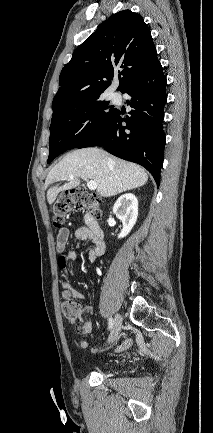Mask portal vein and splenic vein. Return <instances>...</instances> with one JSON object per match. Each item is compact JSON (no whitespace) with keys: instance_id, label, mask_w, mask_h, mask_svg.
I'll return each instance as SVG.
<instances>
[{"instance_id":"portal-vein-and-splenic-vein-1","label":"portal vein and splenic vein","mask_w":213,"mask_h":433,"mask_svg":"<svg viewBox=\"0 0 213 433\" xmlns=\"http://www.w3.org/2000/svg\"><path fill=\"white\" fill-rule=\"evenodd\" d=\"M70 177L72 178L73 176H70ZM82 179H84V180L87 182V186H88V188H89L91 191L96 190V188H97V183H96L95 181L88 180V179L85 178V177H82Z\"/></svg>"}]
</instances>
